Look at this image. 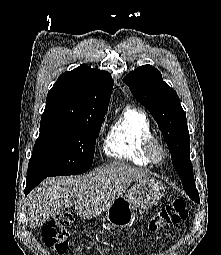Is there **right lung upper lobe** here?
<instances>
[{
	"instance_id": "1",
	"label": "right lung upper lobe",
	"mask_w": 221,
	"mask_h": 255,
	"mask_svg": "<svg viewBox=\"0 0 221 255\" xmlns=\"http://www.w3.org/2000/svg\"><path fill=\"white\" fill-rule=\"evenodd\" d=\"M113 85L107 71L82 64L59 76L48 92L41 118L88 120L107 111Z\"/></svg>"
}]
</instances>
